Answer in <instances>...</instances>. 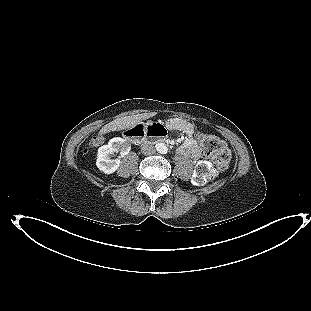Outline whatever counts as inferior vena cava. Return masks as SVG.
<instances>
[{
	"mask_svg": "<svg viewBox=\"0 0 311 311\" xmlns=\"http://www.w3.org/2000/svg\"><path fill=\"white\" fill-rule=\"evenodd\" d=\"M142 152L144 154L150 155L153 154L155 152L154 146L152 145L151 142H145L142 145Z\"/></svg>",
	"mask_w": 311,
	"mask_h": 311,
	"instance_id": "obj_1",
	"label": "inferior vena cava"
}]
</instances>
